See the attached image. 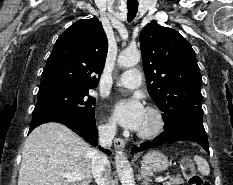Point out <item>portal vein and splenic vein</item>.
I'll return each instance as SVG.
<instances>
[{"instance_id":"portal-vein-and-splenic-vein-1","label":"portal vein and splenic vein","mask_w":233,"mask_h":185,"mask_svg":"<svg viewBox=\"0 0 233 185\" xmlns=\"http://www.w3.org/2000/svg\"><path fill=\"white\" fill-rule=\"evenodd\" d=\"M63 176L66 178V182H73V181H79L84 178V176L77 174V173H65ZM167 178L165 177H158L155 179L156 182H163Z\"/></svg>"}]
</instances>
